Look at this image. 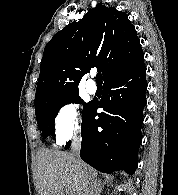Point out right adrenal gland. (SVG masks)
<instances>
[{
    "instance_id": "obj_1",
    "label": "right adrenal gland",
    "mask_w": 178,
    "mask_h": 195,
    "mask_svg": "<svg viewBox=\"0 0 178 195\" xmlns=\"http://www.w3.org/2000/svg\"><path fill=\"white\" fill-rule=\"evenodd\" d=\"M104 184H105L104 182L102 183L101 180H98L97 182L98 195H100V193L102 192Z\"/></svg>"
}]
</instances>
